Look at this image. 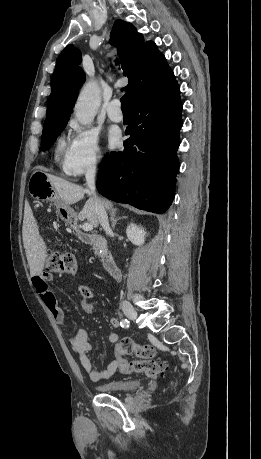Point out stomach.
Listing matches in <instances>:
<instances>
[{
  "label": "stomach",
  "instance_id": "0dacf381",
  "mask_svg": "<svg viewBox=\"0 0 261 459\" xmlns=\"http://www.w3.org/2000/svg\"><path fill=\"white\" fill-rule=\"evenodd\" d=\"M28 192L32 198L41 201H58L59 196L55 191V188L48 180V176L42 171H35L31 175L28 182ZM69 210L66 208H61L60 215L65 220L68 221L67 215Z\"/></svg>",
  "mask_w": 261,
  "mask_h": 459
}]
</instances>
